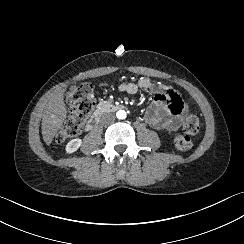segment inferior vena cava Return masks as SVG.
<instances>
[{"label":"inferior vena cava","mask_w":244,"mask_h":244,"mask_svg":"<svg viewBox=\"0 0 244 244\" xmlns=\"http://www.w3.org/2000/svg\"><path fill=\"white\" fill-rule=\"evenodd\" d=\"M115 120V116L113 114H105L102 116L101 121L103 122H112Z\"/></svg>","instance_id":"602c4592"}]
</instances>
